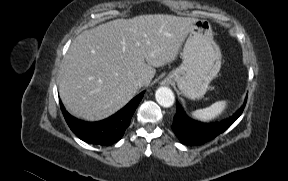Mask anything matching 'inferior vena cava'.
Instances as JSON below:
<instances>
[{"mask_svg": "<svg viewBox=\"0 0 288 181\" xmlns=\"http://www.w3.org/2000/svg\"><path fill=\"white\" fill-rule=\"evenodd\" d=\"M144 85H145V81H144L143 78H138V79H136V80L134 81V86H135L136 88H141V87H143Z\"/></svg>", "mask_w": 288, "mask_h": 181, "instance_id": "obj_1", "label": "inferior vena cava"}]
</instances>
